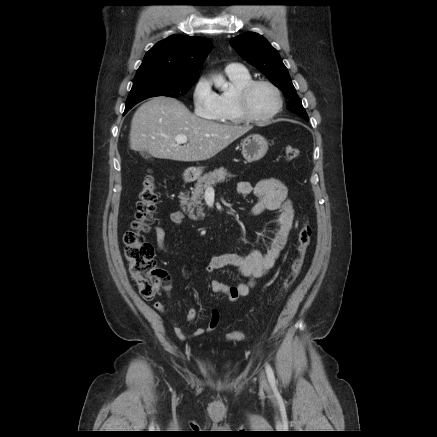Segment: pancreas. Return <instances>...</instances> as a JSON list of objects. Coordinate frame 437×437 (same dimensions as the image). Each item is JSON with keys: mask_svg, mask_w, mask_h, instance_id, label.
<instances>
[{"mask_svg": "<svg viewBox=\"0 0 437 437\" xmlns=\"http://www.w3.org/2000/svg\"><path fill=\"white\" fill-rule=\"evenodd\" d=\"M227 177H232V175L227 173L225 168L221 167L213 172H209L199 177L194 186L191 197L188 195H182L181 206L183 210H187V212H189V218L198 220L205 217V213L203 212L204 204L202 203L204 191L209 186L215 185L219 182H224Z\"/></svg>", "mask_w": 437, "mask_h": 437, "instance_id": "1", "label": "pancreas"}]
</instances>
